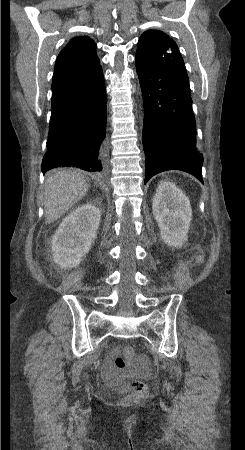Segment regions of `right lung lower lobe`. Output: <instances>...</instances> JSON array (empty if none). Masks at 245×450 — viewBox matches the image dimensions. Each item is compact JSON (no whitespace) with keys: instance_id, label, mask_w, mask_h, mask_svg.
Segmentation results:
<instances>
[{"instance_id":"obj_1","label":"right lung lower lobe","mask_w":245,"mask_h":450,"mask_svg":"<svg viewBox=\"0 0 245 450\" xmlns=\"http://www.w3.org/2000/svg\"><path fill=\"white\" fill-rule=\"evenodd\" d=\"M106 89L101 66L52 98L42 172L75 167L103 176L107 166Z\"/></svg>"}]
</instances>
